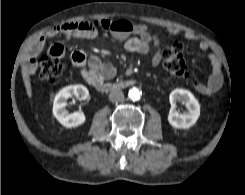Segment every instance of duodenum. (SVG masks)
Returning <instances> with one entry per match:
<instances>
[{"instance_id": "duodenum-1", "label": "duodenum", "mask_w": 245, "mask_h": 195, "mask_svg": "<svg viewBox=\"0 0 245 195\" xmlns=\"http://www.w3.org/2000/svg\"><path fill=\"white\" fill-rule=\"evenodd\" d=\"M133 84V81H122L118 83H98L96 87L102 91H114L126 88Z\"/></svg>"}]
</instances>
